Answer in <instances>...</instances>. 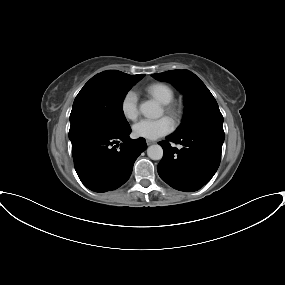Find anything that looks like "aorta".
<instances>
[{
  "label": "aorta",
  "instance_id": "762f6f07",
  "mask_svg": "<svg viewBox=\"0 0 285 285\" xmlns=\"http://www.w3.org/2000/svg\"><path fill=\"white\" fill-rule=\"evenodd\" d=\"M140 111L147 118H159L162 115V108L152 100L142 103ZM147 155L152 160H160L163 157V149L158 144L151 145L147 148Z\"/></svg>",
  "mask_w": 285,
  "mask_h": 285
}]
</instances>
